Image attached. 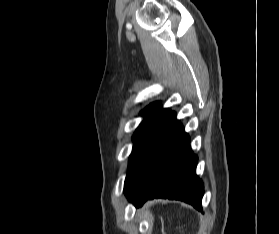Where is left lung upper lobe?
Listing matches in <instances>:
<instances>
[{
	"label": "left lung upper lobe",
	"instance_id": "obj_1",
	"mask_svg": "<svg viewBox=\"0 0 279 234\" xmlns=\"http://www.w3.org/2000/svg\"><path fill=\"white\" fill-rule=\"evenodd\" d=\"M160 108V103L159 102H155L150 104L148 107H146L141 114L145 116L143 122L140 124V126L138 127V129L135 131L134 135H133V150L132 153L130 155L129 158V166H128V173H127V177L129 175L133 160L135 158L136 152L142 142V139L147 131V129L149 128L152 120L154 119V117L156 116L158 110ZM126 177V178H127Z\"/></svg>",
	"mask_w": 279,
	"mask_h": 234
}]
</instances>
